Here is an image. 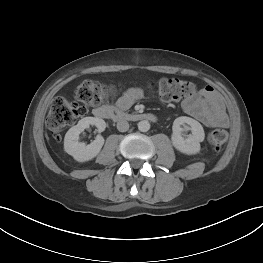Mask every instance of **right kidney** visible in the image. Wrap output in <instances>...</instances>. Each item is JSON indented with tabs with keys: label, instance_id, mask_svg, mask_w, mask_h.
Returning <instances> with one entry per match:
<instances>
[{
	"label": "right kidney",
	"instance_id": "obj_1",
	"mask_svg": "<svg viewBox=\"0 0 263 263\" xmlns=\"http://www.w3.org/2000/svg\"><path fill=\"white\" fill-rule=\"evenodd\" d=\"M90 125H95L99 132L104 131L106 128V123L103 119L85 117L81 119L77 125L71 127L64 138L65 151L78 162H85L96 157L104 144V138L101 135H98L96 139L88 145L78 141L80 133L83 132L84 129L89 128Z\"/></svg>",
	"mask_w": 263,
	"mask_h": 263
}]
</instances>
